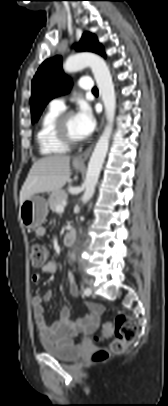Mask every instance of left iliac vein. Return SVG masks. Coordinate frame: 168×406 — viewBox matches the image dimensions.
I'll return each mask as SVG.
<instances>
[{"label":"left iliac vein","mask_w":168,"mask_h":406,"mask_svg":"<svg viewBox=\"0 0 168 406\" xmlns=\"http://www.w3.org/2000/svg\"><path fill=\"white\" fill-rule=\"evenodd\" d=\"M91 288L93 289V286L91 285ZM94 296V294H92Z\"/></svg>","instance_id":"left-iliac-vein-1"}]
</instances>
